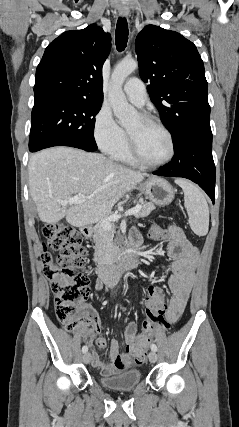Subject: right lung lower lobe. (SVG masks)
<instances>
[{"label":"right lung lower lobe","mask_w":239,"mask_h":427,"mask_svg":"<svg viewBox=\"0 0 239 427\" xmlns=\"http://www.w3.org/2000/svg\"><path fill=\"white\" fill-rule=\"evenodd\" d=\"M96 150H97V147H96ZM37 151H39V150H37ZM95 151V150H94ZM31 152H36V151H31ZM91 152H93V151H91Z\"/></svg>","instance_id":"98d812e1"}]
</instances>
